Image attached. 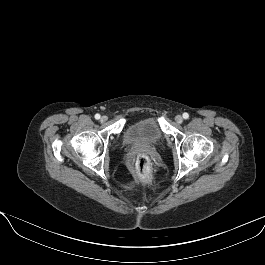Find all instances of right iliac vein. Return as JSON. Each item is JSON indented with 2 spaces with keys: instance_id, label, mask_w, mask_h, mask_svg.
I'll return each instance as SVG.
<instances>
[{
  "instance_id": "right-iliac-vein-1",
  "label": "right iliac vein",
  "mask_w": 265,
  "mask_h": 265,
  "mask_svg": "<svg viewBox=\"0 0 265 265\" xmlns=\"http://www.w3.org/2000/svg\"><path fill=\"white\" fill-rule=\"evenodd\" d=\"M107 120H108V117L107 116H102L101 119H100V121L102 123L106 122Z\"/></svg>"
}]
</instances>
